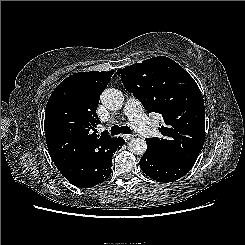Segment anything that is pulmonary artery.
Here are the masks:
<instances>
[{
	"label": "pulmonary artery",
	"mask_w": 245,
	"mask_h": 245,
	"mask_svg": "<svg viewBox=\"0 0 245 245\" xmlns=\"http://www.w3.org/2000/svg\"><path fill=\"white\" fill-rule=\"evenodd\" d=\"M124 112L140 135L145 138H152L155 135L156 129L137 99L130 97L125 104Z\"/></svg>",
	"instance_id": "obj_1"
}]
</instances>
